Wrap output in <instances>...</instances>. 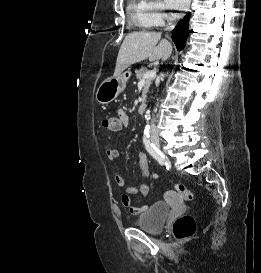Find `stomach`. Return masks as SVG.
Here are the masks:
<instances>
[{"label":"stomach","instance_id":"stomach-1","mask_svg":"<svg viewBox=\"0 0 261 273\" xmlns=\"http://www.w3.org/2000/svg\"><path fill=\"white\" fill-rule=\"evenodd\" d=\"M130 71H125L117 77L105 79L98 87L95 99L99 104L107 105L112 102L126 87Z\"/></svg>","mask_w":261,"mask_h":273}]
</instances>
